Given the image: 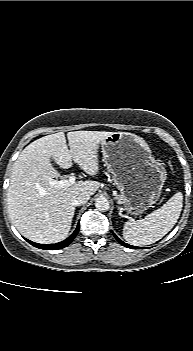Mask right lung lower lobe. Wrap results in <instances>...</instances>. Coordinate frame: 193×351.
Listing matches in <instances>:
<instances>
[{
	"label": "right lung lower lobe",
	"instance_id": "obj_1",
	"mask_svg": "<svg viewBox=\"0 0 193 351\" xmlns=\"http://www.w3.org/2000/svg\"><path fill=\"white\" fill-rule=\"evenodd\" d=\"M79 224L77 225V228L76 230L74 231V233L69 237L67 238L66 240L60 242V243H56V244H50V245H42V244H38V243H34L30 240H27L31 245L37 247V248H40V249H45V250H56V249H62L66 246H68L72 241L73 239L75 238V236L77 235L78 231H79Z\"/></svg>",
	"mask_w": 193,
	"mask_h": 351
}]
</instances>
